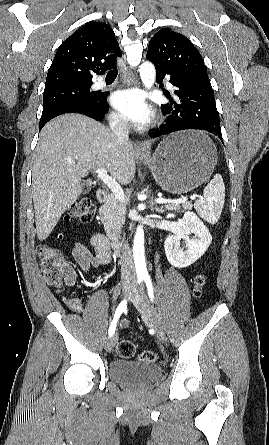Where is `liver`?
Instances as JSON below:
<instances>
[{"label": "liver", "instance_id": "6515ba94", "mask_svg": "<svg viewBox=\"0 0 269 445\" xmlns=\"http://www.w3.org/2000/svg\"><path fill=\"white\" fill-rule=\"evenodd\" d=\"M104 168L120 184L135 175V153L130 142L92 118L65 114L42 129L35 150L32 195L37 237H49L62 214L83 190L81 178Z\"/></svg>", "mask_w": 269, "mask_h": 445}]
</instances>
